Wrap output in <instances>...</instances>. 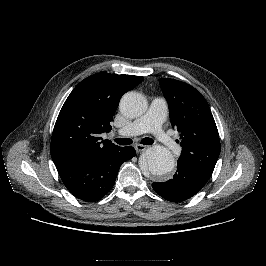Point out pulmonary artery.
Returning a JSON list of instances; mask_svg holds the SVG:
<instances>
[{
  "mask_svg": "<svg viewBox=\"0 0 266 266\" xmlns=\"http://www.w3.org/2000/svg\"><path fill=\"white\" fill-rule=\"evenodd\" d=\"M167 116L168 104L166 100L162 97H155L151 100L147 112L141 118L122 127L118 130V133L125 137H133L151 132L162 142L167 151L175 154L179 150L177 143L162 129V124Z\"/></svg>",
  "mask_w": 266,
  "mask_h": 266,
  "instance_id": "pulmonary-artery-1",
  "label": "pulmonary artery"
}]
</instances>
